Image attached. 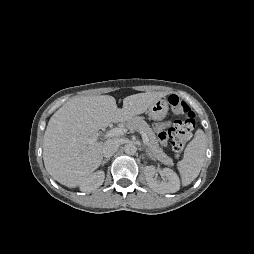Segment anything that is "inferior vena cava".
<instances>
[{"label":"inferior vena cava","mask_w":254,"mask_h":254,"mask_svg":"<svg viewBox=\"0 0 254 254\" xmlns=\"http://www.w3.org/2000/svg\"><path fill=\"white\" fill-rule=\"evenodd\" d=\"M119 148V142L115 139L107 140L102 148V155L106 158L111 157Z\"/></svg>","instance_id":"602c4592"}]
</instances>
